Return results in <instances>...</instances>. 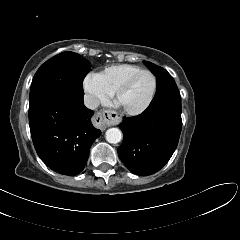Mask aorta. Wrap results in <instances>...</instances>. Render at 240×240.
I'll return each instance as SVG.
<instances>
[{
    "label": "aorta",
    "instance_id": "obj_1",
    "mask_svg": "<svg viewBox=\"0 0 240 240\" xmlns=\"http://www.w3.org/2000/svg\"><path fill=\"white\" fill-rule=\"evenodd\" d=\"M106 140L111 144H116L122 139V132L118 128H110L106 131Z\"/></svg>",
    "mask_w": 240,
    "mask_h": 240
}]
</instances>
